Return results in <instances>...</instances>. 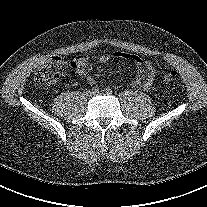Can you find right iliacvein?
Masks as SVG:
<instances>
[{
    "instance_id": "obj_1",
    "label": "right iliac vein",
    "mask_w": 207,
    "mask_h": 207,
    "mask_svg": "<svg viewBox=\"0 0 207 207\" xmlns=\"http://www.w3.org/2000/svg\"><path fill=\"white\" fill-rule=\"evenodd\" d=\"M92 95H93V93H92L91 91H87V92H86V96H87V97H91Z\"/></svg>"
}]
</instances>
